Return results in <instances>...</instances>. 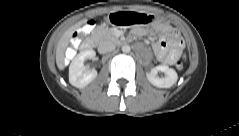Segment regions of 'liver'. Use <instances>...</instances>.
<instances>
[{
	"instance_id": "1",
	"label": "liver",
	"mask_w": 239,
	"mask_h": 136,
	"mask_svg": "<svg viewBox=\"0 0 239 136\" xmlns=\"http://www.w3.org/2000/svg\"><path fill=\"white\" fill-rule=\"evenodd\" d=\"M83 21H79L75 25L67 29L61 36L56 49V64L60 70L64 69V53L69 44L73 33L82 25Z\"/></svg>"
}]
</instances>
